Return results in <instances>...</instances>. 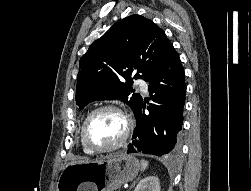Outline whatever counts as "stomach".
<instances>
[{
  "mask_svg": "<svg viewBox=\"0 0 251 191\" xmlns=\"http://www.w3.org/2000/svg\"><path fill=\"white\" fill-rule=\"evenodd\" d=\"M139 169L137 157L127 153L68 163L58 179L57 191H113L134 179Z\"/></svg>",
  "mask_w": 251,
  "mask_h": 191,
  "instance_id": "0dacf381",
  "label": "stomach"
}]
</instances>
